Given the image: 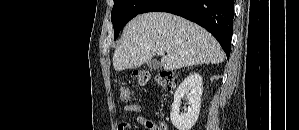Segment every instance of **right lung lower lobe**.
<instances>
[{
    "label": "right lung lower lobe",
    "instance_id": "98d812e1",
    "mask_svg": "<svg viewBox=\"0 0 299 130\" xmlns=\"http://www.w3.org/2000/svg\"><path fill=\"white\" fill-rule=\"evenodd\" d=\"M152 11L176 14L199 24L218 40L229 57L234 0H149L139 14Z\"/></svg>",
    "mask_w": 299,
    "mask_h": 130
}]
</instances>
